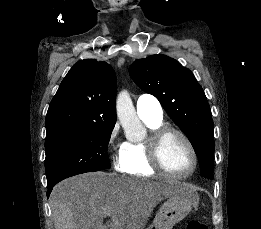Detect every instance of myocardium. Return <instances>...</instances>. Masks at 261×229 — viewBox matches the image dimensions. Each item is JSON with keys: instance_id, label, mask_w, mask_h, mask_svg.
<instances>
[{"instance_id": "obj_1", "label": "myocardium", "mask_w": 261, "mask_h": 229, "mask_svg": "<svg viewBox=\"0 0 261 229\" xmlns=\"http://www.w3.org/2000/svg\"><path fill=\"white\" fill-rule=\"evenodd\" d=\"M171 136L180 137L185 142V144L187 145L191 153L192 167L190 168L189 171H187L184 174H178L171 171L164 163L163 155H162L163 146L166 140ZM149 152H150L151 163L153 164L155 169L171 178H176V179L187 178L195 172L198 165L197 152L193 143L184 132L173 127H161L160 129L156 130L152 134Z\"/></svg>"}]
</instances>
